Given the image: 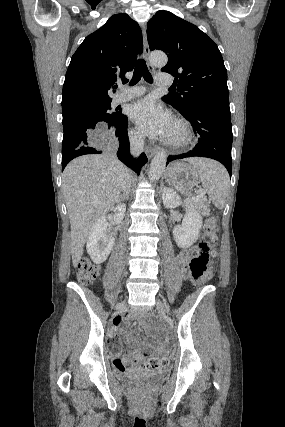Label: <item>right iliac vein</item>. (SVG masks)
<instances>
[{
  "instance_id": "63e3f726",
  "label": "right iliac vein",
  "mask_w": 285,
  "mask_h": 427,
  "mask_svg": "<svg viewBox=\"0 0 285 427\" xmlns=\"http://www.w3.org/2000/svg\"><path fill=\"white\" fill-rule=\"evenodd\" d=\"M119 309L120 310H123V309H125V307H126V302L125 301H122L120 304H119Z\"/></svg>"
}]
</instances>
